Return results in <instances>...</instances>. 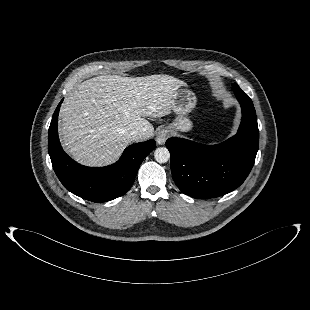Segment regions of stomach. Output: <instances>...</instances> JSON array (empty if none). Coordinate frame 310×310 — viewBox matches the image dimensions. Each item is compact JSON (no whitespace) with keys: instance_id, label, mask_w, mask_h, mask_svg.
Here are the masks:
<instances>
[{"instance_id":"obj_1","label":"stomach","mask_w":310,"mask_h":310,"mask_svg":"<svg viewBox=\"0 0 310 310\" xmlns=\"http://www.w3.org/2000/svg\"><path fill=\"white\" fill-rule=\"evenodd\" d=\"M195 93L189 89L179 88L173 98L172 110L178 115V118L170 126L182 132L189 131L192 128V122L186 117L196 106Z\"/></svg>"}]
</instances>
